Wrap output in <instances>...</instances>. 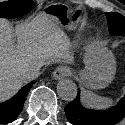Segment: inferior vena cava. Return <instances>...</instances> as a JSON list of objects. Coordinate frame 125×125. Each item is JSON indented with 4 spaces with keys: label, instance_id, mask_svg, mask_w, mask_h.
<instances>
[{
    "label": "inferior vena cava",
    "instance_id": "602c4592",
    "mask_svg": "<svg viewBox=\"0 0 125 125\" xmlns=\"http://www.w3.org/2000/svg\"><path fill=\"white\" fill-rule=\"evenodd\" d=\"M41 66L42 65L33 66V67L25 70L22 73V79L25 80V81L36 79L40 75L39 69H40Z\"/></svg>",
    "mask_w": 125,
    "mask_h": 125
}]
</instances>
